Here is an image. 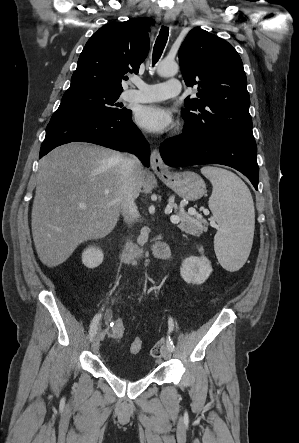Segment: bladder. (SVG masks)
I'll return each mask as SVG.
<instances>
[{"mask_svg":"<svg viewBox=\"0 0 299 443\" xmlns=\"http://www.w3.org/2000/svg\"><path fill=\"white\" fill-rule=\"evenodd\" d=\"M129 364L130 367L127 369H121L113 364H110L109 369L116 376L128 381H136L146 376V370L143 368L142 365L135 364L134 362H129Z\"/></svg>","mask_w":299,"mask_h":443,"instance_id":"bladder-1","label":"bladder"}]
</instances>
